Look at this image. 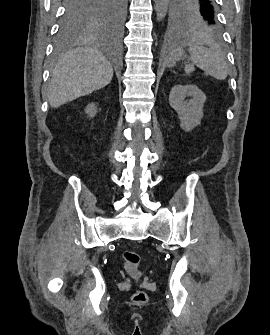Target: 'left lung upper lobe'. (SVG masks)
<instances>
[{
	"label": "left lung upper lobe",
	"mask_w": 270,
	"mask_h": 335,
	"mask_svg": "<svg viewBox=\"0 0 270 335\" xmlns=\"http://www.w3.org/2000/svg\"><path fill=\"white\" fill-rule=\"evenodd\" d=\"M167 18L173 27L204 35L221 30L214 0H169Z\"/></svg>",
	"instance_id": "obj_1"
}]
</instances>
